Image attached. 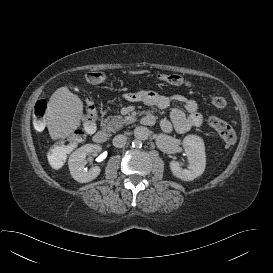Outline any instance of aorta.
Masks as SVG:
<instances>
[{"label":"aorta","instance_id":"obj_1","mask_svg":"<svg viewBox=\"0 0 273 273\" xmlns=\"http://www.w3.org/2000/svg\"><path fill=\"white\" fill-rule=\"evenodd\" d=\"M132 146L136 147V148L142 147V141H141V139L136 138L135 140H133Z\"/></svg>","mask_w":273,"mask_h":273}]
</instances>
